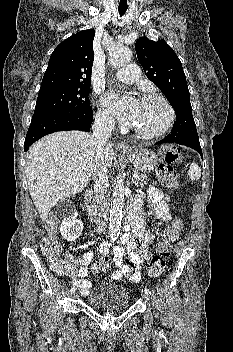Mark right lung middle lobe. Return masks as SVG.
Returning a JSON list of instances; mask_svg holds the SVG:
<instances>
[{
	"instance_id": "1",
	"label": "right lung middle lobe",
	"mask_w": 233,
	"mask_h": 352,
	"mask_svg": "<svg viewBox=\"0 0 233 352\" xmlns=\"http://www.w3.org/2000/svg\"><path fill=\"white\" fill-rule=\"evenodd\" d=\"M90 85L40 87L33 117L90 110Z\"/></svg>"
}]
</instances>
